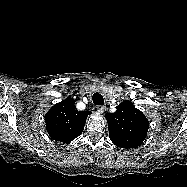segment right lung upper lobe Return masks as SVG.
<instances>
[{
	"label": "right lung upper lobe",
	"mask_w": 187,
	"mask_h": 187,
	"mask_svg": "<svg viewBox=\"0 0 187 187\" xmlns=\"http://www.w3.org/2000/svg\"><path fill=\"white\" fill-rule=\"evenodd\" d=\"M71 97L55 104L45 115V123L51 138L60 142H70L83 131L90 111L79 112Z\"/></svg>",
	"instance_id": "obj_1"
}]
</instances>
